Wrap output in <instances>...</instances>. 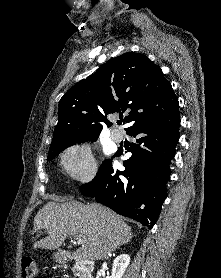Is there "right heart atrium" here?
<instances>
[{
	"label": "right heart atrium",
	"mask_w": 221,
	"mask_h": 278,
	"mask_svg": "<svg viewBox=\"0 0 221 278\" xmlns=\"http://www.w3.org/2000/svg\"><path fill=\"white\" fill-rule=\"evenodd\" d=\"M60 162L69 177L79 182H90L98 173V166L88 142L69 144L60 155Z\"/></svg>",
	"instance_id": "obj_1"
}]
</instances>
